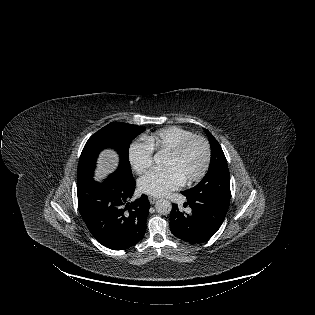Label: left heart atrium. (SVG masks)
<instances>
[{"label": "left heart atrium", "instance_id": "39dd6f15", "mask_svg": "<svg viewBox=\"0 0 315 315\" xmlns=\"http://www.w3.org/2000/svg\"><path fill=\"white\" fill-rule=\"evenodd\" d=\"M186 179L175 168H156L139 180L142 193L152 196H165L185 183Z\"/></svg>", "mask_w": 315, "mask_h": 315}]
</instances>
